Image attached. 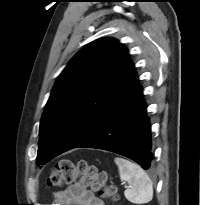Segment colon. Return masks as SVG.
Here are the masks:
<instances>
[{
	"label": "colon",
	"mask_w": 200,
	"mask_h": 205,
	"mask_svg": "<svg viewBox=\"0 0 200 205\" xmlns=\"http://www.w3.org/2000/svg\"><path fill=\"white\" fill-rule=\"evenodd\" d=\"M46 183L49 188L78 183L107 199H118L117 188L107 182V174L85 160H79L77 163L70 160L59 161L51 169Z\"/></svg>",
	"instance_id": "obj_1"
}]
</instances>
